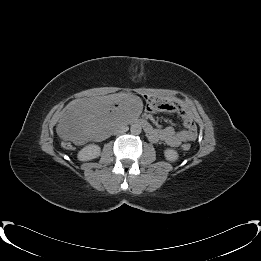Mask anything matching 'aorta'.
Masks as SVG:
<instances>
[{"label":"aorta","instance_id":"762f6f07","mask_svg":"<svg viewBox=\"0 0 261 261\" xmlns=\"http://www.w3.org/2000/svg\"><path fill=\"white\" fill-rule=\"evenodd\" d=\"M130 132L133 135H139L142 132V127L139 124H133L130 127Z\"/></svg>","mask_w":261,"mask_h":261}]
</instances>
